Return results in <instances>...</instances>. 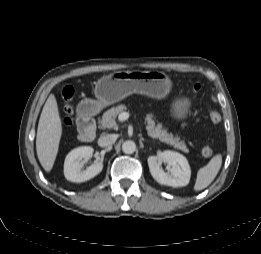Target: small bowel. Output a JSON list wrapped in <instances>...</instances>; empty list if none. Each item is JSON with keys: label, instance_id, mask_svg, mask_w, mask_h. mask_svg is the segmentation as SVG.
<instances>
[{"label": "small bowel", "instance_id": "1", "mask_svg": "<svg viewBox=\"0 0 261 254\" xmlns=\"http://www.w3.org/2000/svg\"><path fill=\"white\" fill-rule=\"evenodd\" d=\"M152 117H153V115H152V114H150V115H149V118H152Z\"/></svg>", "mask_w": 261, "mask_h": 254}]
</instances>
